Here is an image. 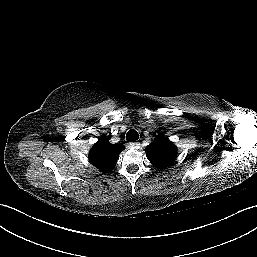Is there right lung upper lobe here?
<instances>
[{"mask_svg":"<svg viewBox=\"0 0 257 257\" xmlns=\"http://www.w3.org/2000/svg\"><path fill=\"white\" fill-rule=\"evenodd\" d=\"M124 145L111 144L105 137L99 138L89 152L90 163L103 173L110 172L116 165Z\"/></svg>","mask_w":257,"mask_h":257,"instance_id":"1","label":"right lung upper lobe"}]
</instances>
